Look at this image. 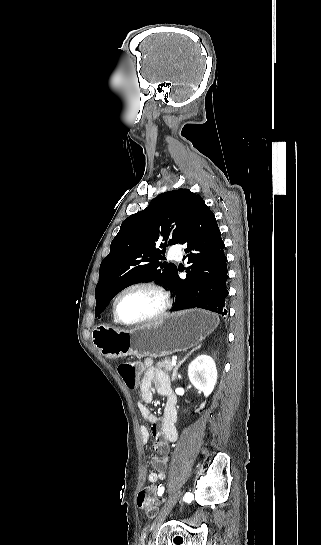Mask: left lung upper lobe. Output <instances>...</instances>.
<instances>
[{"mask_svg":"<svg viewBox=\"0 0 321 545\" xmlns=\"http://www.w3.org/2000/svg\"><path fill=\"white\" fill-rule=\"evenodd\" d=\"M201 196L189 189L159 194L149 206L125 219L100 265L95 289V316L124 288L139 282L159 281L169 285L177 268L162 259L167 245L178 244ZM159 248L163 249L160 250Z\"/></svg>","mask_w":321,"mask_h":545,"instance_id":"left-lung-upper-lobe-1","label":"left lung upper lobe"}]
</instances>
